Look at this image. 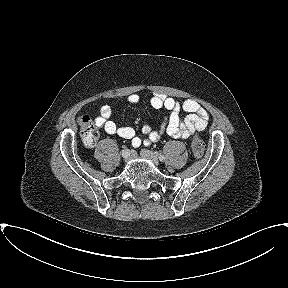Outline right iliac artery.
I'll return each instance as SVG.
<instances>
[{"instance_id":"1","label":"right iliac artery","mask_w":288,"mask_h":288,"mask_svg":"<svg viewBox=\"0 0 288 288\" xmlns=\"http://www.w3.org/2000/svg\"><path fill=\"white\" fill-rule=\"evenodd\" d=\"M128 149L123 150V152L121 153V156L123 157V159L125 161H128L130 159V153L128 152Z\"/></svg>"}]
</instances>
